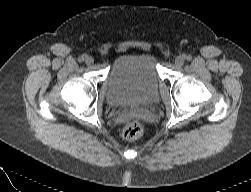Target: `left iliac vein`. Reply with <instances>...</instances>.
Returning <instances> with one entry per match:
<instances>
[{"instance_id": "left-iliac-vein-1", "label": "left iliac vein", "mask_w": 251, "mask_h": 192, "mask_svg": "<svg viewBox=\"0 0 251 192\" xmlns=\"http://www.w3.org/2000/svg\"><path fill=\"white\" fill-rule=\"evenodd\" d=\"M184 57H182V56H177L176 58H175V65L176 66H182L183 64H184Z\"/></svg>"}]
</instances>
